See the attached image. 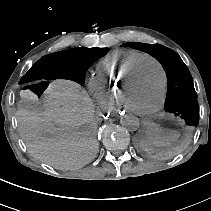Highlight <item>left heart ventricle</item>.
<instances>
[{
	"mask_svg": "<svg viewBox=\"0 0 211 211\" xmlns=\"http://www.w3.org/2000/svg\"><path fill=\"white\" fill-rule=\"evenodd\" d=\"M161 72L151 61L144 62L128 84L125 99L131 108L147 110L159 99Z\"/></svg>",
	"mask_w": 211,
	"mask_h": 211,
	"instance_id": "left-heart-ventricle-1",
	"label": "left heart ventricle"
}]
</instances>
